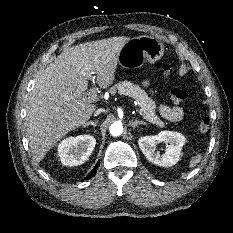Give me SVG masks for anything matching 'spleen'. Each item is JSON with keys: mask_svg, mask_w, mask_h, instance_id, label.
<instances>
[{"mask_svg": "<svg viewBox=\"0 0 233 233\" xmlns=\"http://www.w3.org/2000/svg\"><path fill=\"white\" fill-rule=\"evenodd\" d=\"M202 154H196L195 156H193L189 162V168H194L197 166L198 163H200L201 159H202Z\"/></svg>", "mask_w": 233, "mask_h": 233, "instance_id": "spleen-1", "label": "spleen"}]
</instances>
